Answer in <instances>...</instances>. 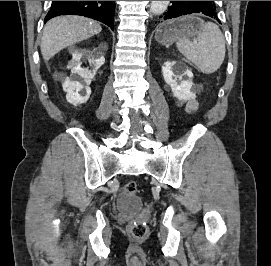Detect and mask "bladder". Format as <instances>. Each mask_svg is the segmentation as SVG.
<instances>
[{
	"mask_svg": "<svg viewBox=\"0 0 271 266\" xmlns=\"http://www.w3.org/2000/svg\"><path fill=\"white\" fill-rule=\"evenodd\" d=\"M142 207L141 199L133 194L123 193L116 200V209L119 212L132 214Z\"/></svg>",
	"mask_w": 271,
	"mask_h": 266,
	"instance_id": "obj_1",
	"label": "bladder"
}]
</instances>
